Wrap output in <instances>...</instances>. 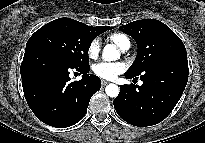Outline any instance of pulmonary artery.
Masks as SVG:
<instances>
[{"mask_svg":"<svg viewBox=\"0 0 205 143\" xmlns=\"http://www.w3.org/2000/svg\"><path fill=\"white\" fill-rule=\"evenodd\" d=\"M130 48V44H127L126 46H124L121 50L122 51H126Z\"/></svg>","mask_w":205,"mask_h":143,"instance_id":"pulmonary-artery-1","label":"pulmonary artery"}]
</instances>
